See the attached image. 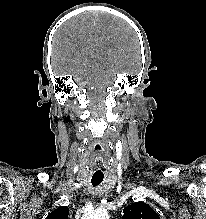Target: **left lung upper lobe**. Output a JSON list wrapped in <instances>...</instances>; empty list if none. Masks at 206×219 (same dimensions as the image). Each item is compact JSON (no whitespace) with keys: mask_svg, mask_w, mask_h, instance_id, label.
I'll return each instance as SVG.
<instances>
[{"mask_svg":"<svg viewBox=\"0 0 206 219\" xmlns=\"http://www.w3.org/2000/svg\"><path fill=\"white\" fill-rule=\"evenodd\" d=\"M123 212L122 219H160L159 215L144 202L128 205Z\"/></svg>","mask_w":206,"mask_h":219,"instance_id":"obj_1","label":"left lung upper lobe"}]
</instances>
